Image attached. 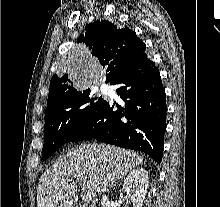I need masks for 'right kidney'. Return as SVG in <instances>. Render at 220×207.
Here are the masks:
<instances>
[{"mask_svg":"<svg viewBox=\"0 0 220 207\" xmlns=\"http://www.w3.org/2000/svg\"><path fill=\"white\" fill-rule=\"evenodd\" d=\"M148 185V172L142 167L133 169L125 178L123 191L132 201L133 207H143Z\"/></svg>","mask_w":220,"mask_h":207,"instance_id":"1","label":"right kidney"}]
</instances>
